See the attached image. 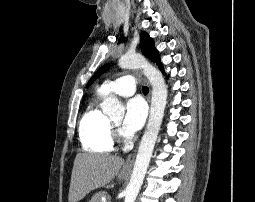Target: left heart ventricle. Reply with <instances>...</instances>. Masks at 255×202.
Here are the masks:
<instances>
[{
  "instance_id": "b2bd125f",
  "label": "left heart ventricle",
  "mask_w": 255,
  "mask_h": 202,
  "mask_svg": "<svg viewBox=\"0 0 255 202\" xmlns=\"http://www.w3.org/2000/svg\"><path fill=\"white\" fill-rule=\"evenodd\" d=\"M121 121H122L121 118H117V119L114 120V122H115L117 125H120V124H121Z\"/></svg>"
}]
</instances>
